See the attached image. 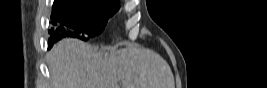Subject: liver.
<instances>
[{
	"label": "liver",
	"mask_w": 267,
	"mask_h": 88,
	"mask_svg": "<svg viewBox=\"0 0 267 88\" xmlns=\"http://www.w3.org/2000/svg\"><path fill=\"white\" fill-rule=\"evenodd\" d=\"M53 88H175L168 63L140 46L104 53L78 39H63L48 53Z\"/></svg>",
	"instance_id": "liver-1"
}]
</instances>
